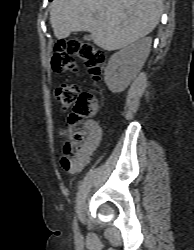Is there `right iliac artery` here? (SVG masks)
<instances>
[{
    "label": "right iliac artery",
    "mask_w": 194,
    "mask_h": 250,
    "mask_svg": "<svg viewBox=\"0 0 194 250\" xmlns=\"http://www.w3.org/2000/svg\"><path fill=\"white\" fill-rule=\"evenodd\" d=\"M77 221H76V218L74 219V222H73V229L76 231L77 230Z\"/></svg>",
    "instance_id": "right-iliac-artery-1"
}]
</instances>
